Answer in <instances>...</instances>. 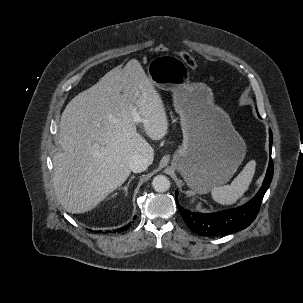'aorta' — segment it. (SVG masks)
Listing matches in <instances>:
<instances>
[{
  "label": "aorta",
  "instance_id": "1",
  "mask_svg": "<svg viewBox=\"0 0 303 303\" xmlns=\"http://www.w3.org/2000/svg\"><path fill=\"white\" fill-rule=\"evenodd\" d=\"M152 187L156 192H166L170 188V181L164 175H157L153 178Z\"/></svg>",
  "mask_w": 303,
  "mask_h": 303
}]
</instances>
